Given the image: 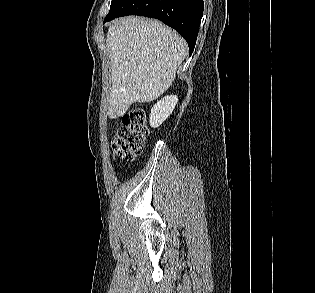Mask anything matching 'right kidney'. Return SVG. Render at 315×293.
<instances>
[{"mask_svg": "<svg viewBox=\"0 0 315 293\" xmlns=\"http://www.w3.org/2000/svg\"><path fill=\"white\" fill-rule=\"evenodd\" d=\"M177 102L176 95H169L158 101L151 109L150 126L159 127L173 112Z\"/></svg>", "mask_w": 315, "mask_h": 293, "instance_id": "right-kidney-1", "label": "right kidney"}]
</instances>
